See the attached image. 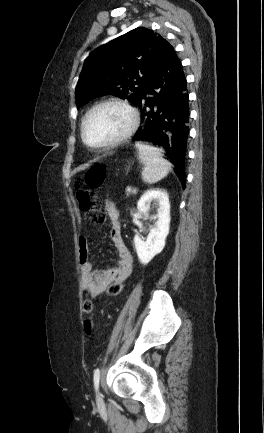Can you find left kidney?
I'll use <instances>...</instances> for the list:
<instances>
[{"instance_id": "5707ae66", "label": "left kidney", "mask_w": 264, "mask_h": 433, "mask_svg": "<svg viewBox=\"0 0 264 433\" xmlns=\"http://www.w3.org/2000/svg\"><path fill=\"white\" fill-rule=\"evenodd\" d=\"M151 202H154L158 207L157 214L154 216V219H157L155 226L150 229L145 241L142 240L139 235H135L134 237L137 256L144 265L148 264L154 256L164 249L170 226V203L168 193L161 189L147 190L138 201V210L142 214L147 215Z\"/></svg>"}]
</instances>
